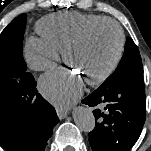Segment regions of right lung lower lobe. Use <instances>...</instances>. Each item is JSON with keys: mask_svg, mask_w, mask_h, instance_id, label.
<instances>
[{"mask_svg": "<svg viewBox=\"0 0 151 151\" xmlns=\"http://www.w3.org/2000/svg\"><path fill=\"white\" fill-rule=\"evenodd\" d=\"M3 98L13 111V128L9 140L0 145L7 151H44L59 118L38 93L33 75L25 72L19 79L0 75Z\"/></svg>", "mask_w": 151, "mask_h": 151, "instance_id": "98d812e1", "label": "right lung lower lobe"}]
</instances>
